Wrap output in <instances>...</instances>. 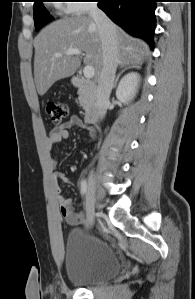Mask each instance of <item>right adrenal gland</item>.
I'll list each match as a JSON object with an SVG mask.
<instances>
[{"label":"right adrenal gland","instance_id":"obj_1","mask_svg":"<svg viewBox=\"0 0 195 299\" xmlns=\"http://www.w3.org/2000/svg\"><path fill=\"white\" fill-rule=\"evenodd\" d=\"M140 65H141V64L132 65V66H122V70L120 71V73H118V75H117V77H116V79H115V81H114L113 89L116 88L117 83H118V80H119V77L121 76V74H122L124 71H126V70H128V69H131V68L140 69Z\"/></svg>","mask_w":195,"mask_h":299}]
</instances>
